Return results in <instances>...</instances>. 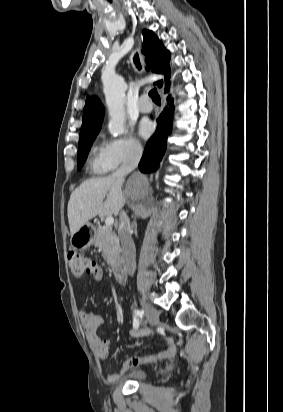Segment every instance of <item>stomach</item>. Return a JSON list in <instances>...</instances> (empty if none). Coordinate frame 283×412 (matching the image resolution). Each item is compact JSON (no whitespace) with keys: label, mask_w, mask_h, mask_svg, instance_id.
I'll use <instances>...</instances> for the list:
<instances>
[{"label":"stomach","mask_w":283,"mask_h":412,"mask_svg":"<svg viewBox=\"0 0 283 412\" xmlns=\"http://www.w3.org/2000/svg\"><path fill=\"white\" fill-rule=\"evenodd\" d=\"M94 227L86 223L76 233L71 235L70 244L73 249L83 250L95 242Z\"/></svg>","instance_id":"1"}]
</instances>
